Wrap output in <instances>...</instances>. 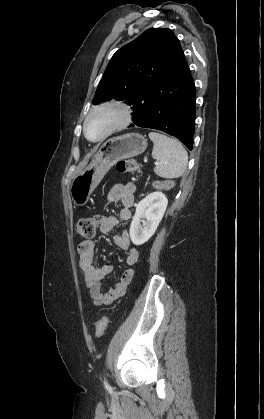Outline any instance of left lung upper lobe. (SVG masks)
I'll use <instances>...</instances> for the list:
<instances>
[{
  "mask_svg": "<svg viewBox=\"0 0 264 419\" xmlns=\"http://www.w3.org/2000/svg\"><path fill=\"white\" fill-rule=\"evenodd\" d=\"M181 52L170 29H148L113 55L93 104L116 99L125 100L132 109L141 105L153 83L170 78Z\"/></svg>",
  "mask_w": 264,
  "mask_h": 419,
  "instance_id": "5c2ea615",
  "label": "left lung upper lobe"
}]
</instances>
